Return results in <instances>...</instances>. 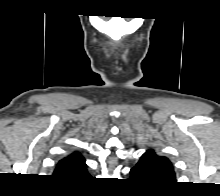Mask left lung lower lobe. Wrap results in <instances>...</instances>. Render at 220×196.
Listing matches in <instances>:
<instances>
[{
	"label": "left lung lower lobe",
	"mask_w": 220,
	"mask_h": 196,
	"mask_svg": "<svg viewBox=\"0 0 220 196\" xmlns=\"http://www.w3.org/2000/svg\"><path fill=\"white\" fill-rule=\"evenodd\" d=\"M131 179L141 181L144 184L158 185V181L150 172L149 168L143 163L138 162L135 167L130 170Z\"/></svg>",
	"instance_id": "left-lung-lower-lobe-1"
}]
</instances>
